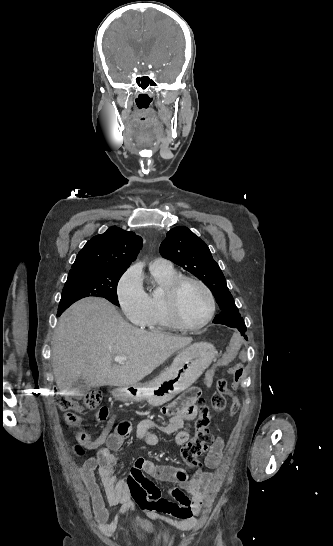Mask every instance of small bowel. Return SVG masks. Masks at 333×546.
I'll return each mask as SVG.
<instances>
[{
    "mask_svg": "<svg viewBox=\"0 0 333 546\" xmlns=\"http://www.w3.org/2000/svg\"><path fill=\"white\" fill-rule=\"evenodd\" d=\"M239 333H234L230 340V346H225L217 361L212 363V368H206V380L203 386L208 387L210 380L217 372H223L228 365L234 361L245 360V355L238 354L237 348L241 344ZM189 394L194 395L195 391ZM188 394V395H189ZM186 395L185 398L188 396ZM237 404H232L229 413L238 412ZM164 413L170 416L166 425H157L153 421L145 419L138 423L135 430L136 440H141L148 445H158L159 437L151 432V429L158 428L161 431L172 434L176 433L175 442L181 446L188 442L191 435L189 422L195 417L196 409L191 403L180 406L178 402H172L165 406ZM114 423L112 417L106 428L94 440L85 432L78 433L77 444L74 451L77 455H84L86 450H95L103 445L108 449L105 455L87 457L78 467L85 486L89 492L93 512L102 532L112 536L115 532L121 517L127 512L135 511L137 508L148 513L151 517L181 531H189L198 525L197 515L204 507V502L212 481V473L206 470L198 471L193 477L180 468L174 466L158 465L143 458L137 459L127 479H118L116 468L118 457L113 451L118 450L124 440L131 433V426L128 422L119 424L113 431H110ZM224 441L221 437L214 438L209 447L205 466L215 468L219 465ZM98 471L101 485L105 492L106 501L109 505H121V509L114 521L108 523L109 512L105 500L101 494L100 487L95 479V471ZM152 480L174 483L177 487L170 492L174 502L162 499L160 490ZM166 515H173L177 520Z\"/></svg>",
    "mask_w": 333,
    "mask_h": 546,
    "instance_id": "1",
    "label": "small bowel"
}]
</instances>
